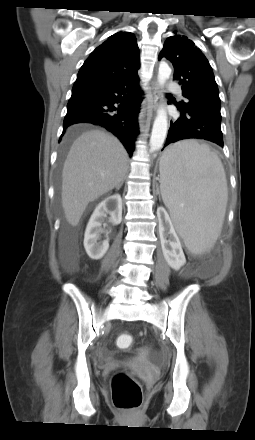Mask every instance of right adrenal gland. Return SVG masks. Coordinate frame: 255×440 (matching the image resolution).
<instances>
[{"label":"right adrenal gland","instance_id":"2a0ac1e0","mask_svg":"<svg viewBox=\"0 0 255 440\" xmlns=\"http://www.w3.org/2000/svg\"><path fill=\"white\" fill-rule=\"evenodd\" d=\"M123 183H124V180L121 181V183L118 186H116V190H119L122 187Z\"/></svg>","mask_w":255,"mask_h":440}]
</instances>
